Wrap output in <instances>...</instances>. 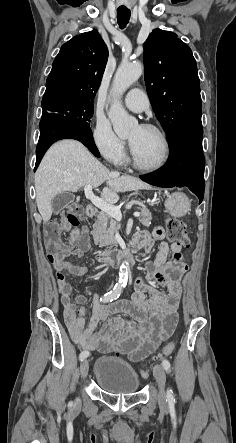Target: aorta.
<instances>
[{
	"label": "aorta",
	"mask_w": 236,
	"mask_h": 443,
	"mask_svg": "<svg viewBox=\"0 0 236 443\" xmlns=\"http://www.w3.org/2000/svg\"><path fill=\"white\" fill-rule=\"evenodd\" d=\"M143 67L140 63H122L114 76L112 94L114 102L108 112L113 129L118 137L126 138L138 126L136 118L130 116L121 105V95L142 75ZM128 264L122 263L119 271V284L124 285L128 280Z\"/></svg>",
	"instance_id": "obj_1"
}]
</instances>
